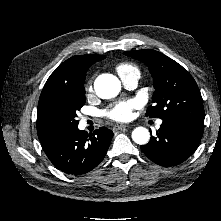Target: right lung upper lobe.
<instances>
[{
	"mask_svg": "<svg viewBox=\"0 0 221 221\" xmlns=\"http://www.w3.org/2000/svg\"><path fill=\"white\" fill-rule=\"evenodd\" d=\"M105 56L97 54L76 55L63 62L48 78L43 90L66 86L69 88L84 87L86 72L89 67L97 61L103 60ZM40 141L50 136L38 134Z\"/></svg>",
	"mask_w": 221,
	"mask_h": 221,
	"instance_id": "1",
	"label": "right lung upper lobe"
}]
</instances>
